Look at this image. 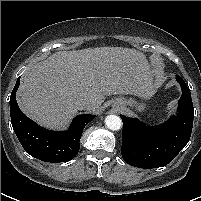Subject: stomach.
Listing matches in <instances>:
<instances>
[{
	"instance_id": "1",
	"label": "stomach",
	"mask_w": 201,
	"mask_h": 201,
	"mask_svg": "<svg viewBox=\"0 0 201 201\" xmlns=\"http://www.w3.org/2000/svg\"><path fill=\"white\" fill-rule=\"evenodd\" d=\"M119 101H121L123 103V107H126V106H130L132 108L134 107L135 110L138 111V112H142L145 109V105L143 103H139L133 98L125 99L123 97L117 98L114 101V103H113L114 108H117V103Z\"/></svg>"
}]
</instances>
